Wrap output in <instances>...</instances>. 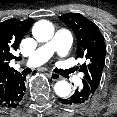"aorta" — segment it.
I'll return each instance as SVG.
<instances>
[{"instance_id":"aorta-1","label":"aorta","mask_w":117,"mask_h":117,"mask_svg":"<svg viewBox=\"0 0 117 117\" xmlns=\"http://www.w3.org/2000/svg\"><path fill=\"white\" fill-rule=\"evenodd\" d=\"M33 37L39 42H47L54 35V27L51 22L47 20H41L34 24L32 29ZM55 93L65 98L71 93V85L65 80L58 81L54 86Z\"/></svg>"}]
</instances>
